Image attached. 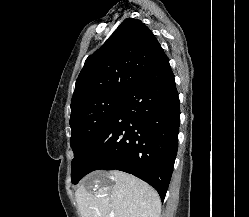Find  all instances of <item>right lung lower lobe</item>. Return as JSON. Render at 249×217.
I'll return each instance as SVG.
<instances>
[{
    "label": "right lung lower lobe",
    "instance_id": "obj_1",
    "mask_svg": "<svg viewBox=\"0 0 249 217\" xmlns=\"http://www.w3.org/2000/svg\"><path fill=\"white\" fill-rule=\"evenodd\" d=\"M180 110L169 59L164 55L123 99L79 167L120 170L146 181L163 201L178 147ZM80 178V179H81Z\"/></svg>",
    "mask_w": 249,
    "mask_h": 217
}]
</instances>
